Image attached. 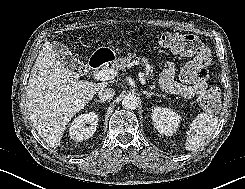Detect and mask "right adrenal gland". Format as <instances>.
<instances>
[{
    "label": "right adrenal gland",
    "mask_w": 245,
    "mask_h": 189,
    "mask_svg": "<svg viewBox=\"0 0 245 189\" xmlns=\"http://www.w3.org/2000/svg\"><path fill=\"white\" fill-rule=\"evenodd\" d=\"M95 102H98V103H104L105 101H102V100H99V99H96Z\"/></svg>",
    "instance_id": "right-adrenal-gland-1"
}]
</instances>
